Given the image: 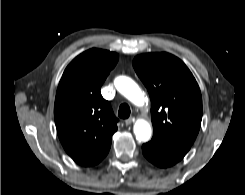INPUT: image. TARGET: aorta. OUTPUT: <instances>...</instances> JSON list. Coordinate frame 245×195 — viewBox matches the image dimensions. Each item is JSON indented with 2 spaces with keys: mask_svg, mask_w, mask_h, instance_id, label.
Masks as SVG:
<instances>
[{
  "mask_svg": "<svg viewBox=\"0 0 245 195\" xmlns=\"http://www.w3.org/2000/svg\"><path fill=\"white\" fill-rule=\"evenodd\" d=\"M114 84L116 89L132 103L138 106L143 105L144 94L131 78L119 76L115 79ZM133 130L139 141L146 142L151 138V126L145 120H137Z\"/></svg>",
  "mask_w": 245,
  "mask_h": 195,
  "instance_id": "aorta-1",
  "label": "aorta"
}]
</instances>
